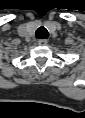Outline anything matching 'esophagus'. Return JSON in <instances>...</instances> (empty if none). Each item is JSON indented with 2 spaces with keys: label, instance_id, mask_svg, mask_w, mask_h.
Wrapping results in <instances>:
<instances>
[{
  "label": "esophagus",
  "instance_id": "34e87169",
  "mask_svg": "<svg viewBox=\"0 0 85 118\" xmlns=\"http://www.w3.org/2000/svg\"><path fill=\"white\" fill-rule=\"evenodd\" d=\"M47 42L48 41L46 39H41V40L38 41V44L41 45V46H44V45L47 44Z\"/></svg>",
  "mask_w": 85,
  "mask_h": 118
}]
</instances>
